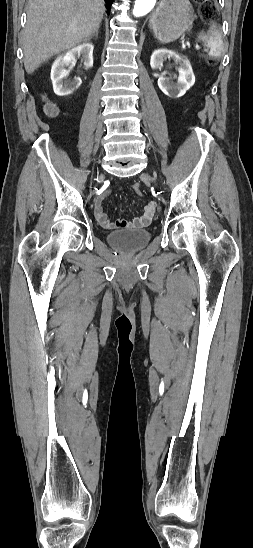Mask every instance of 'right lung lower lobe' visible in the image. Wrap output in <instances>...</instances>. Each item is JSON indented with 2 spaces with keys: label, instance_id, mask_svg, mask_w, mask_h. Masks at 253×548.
Masks as SVG:
<instances>
[{
  "label": "right lung lower lobe",
  "instance_id": "1",
  "mask_svg": "<svg viewBox=\"0 0 253 548\" xmlns=\"http://www.w3.org/2000/svg\"><path fill=\"white\" fill-rule=\"evenodd\" d=\"M104 1L106 2L107 7L110 8L114 0H104Z\"/></svg>",
  "mask_w": 253,
  "mask_h": 548
}]
</instances>
